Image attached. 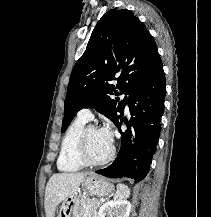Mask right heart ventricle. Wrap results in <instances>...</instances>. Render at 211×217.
<instances>
[{"mask_svg": "<svg viewBox=\"0 0 211 217\" xmlns=\"http://www.w3.org/2000/svg\"><path fill=\"white\" fill-rule=\"evenodd\" d=\"M87 121L77 118L67 129L61 141L60 152L57 159V167L63 172H76L84 165L77 157V143Z\"/></svg>", "mask_w": 211, "mask_h": 217, "instance_id": "obj_1", "label": "right heart ventricle"}]
</instances>
